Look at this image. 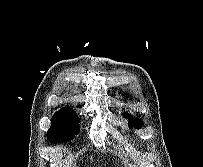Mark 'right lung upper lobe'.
Instances as JSON below:
<instances>
[{"label": "right lung upper lobe", "mask_w": 203, "mask_h": 167, "mask_svg": "<svg viewBox=\"0 0 203 167\" xmlns=\"http://www.w3.org/2000/svg\"><path fill=\"white\" fill-rule=\"evenodd\" d=\"M68 109H70V108H63V109H61L60 111H63V110H68Z\"/></svg>", "instance_id": "obj_1"}]
</instances>
